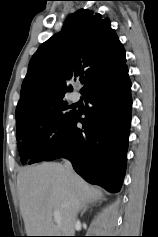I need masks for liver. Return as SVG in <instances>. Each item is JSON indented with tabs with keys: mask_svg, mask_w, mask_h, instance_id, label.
I'll return each mask as SVG.
<instances>
[{
	"mask_svg": "<svg viewBox=\"0 0 158 237\" xmlns=\"http://www.w3.org/2000/svg\"><path fill=\"white\" fill-rule=\"evenodd\" d=\"M17 191L27 236L74 234L77 212L102 197L100 189L56 162L23 168L17 176ZM54 210L61 217L55 223Z\"/></svg>",
	"mask_w": 158,
	"mask_h": 237,
	"instance_id": "6515ba94",
	"label": "liver"
}]
</instances>
